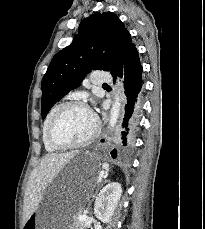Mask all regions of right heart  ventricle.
<instances>
[{
    "mask_svg": "<svg viewBox=\"0 0 205 229\" xmlns=\"http://www.w3.org/2000/svg\"><path fill=\"white\" fill-rule=\"evenodd\" d=\"M60 105L61 104H59V103L53 105L51 107V109L49 110L46 118L43 121V125H42V141H43L44 147H45L47 152H54V151L57 150V148L53 147L49 143L48 138H47V132H48V127H49L50 121H51L54 113L56 112V110L59 108Z\"/></svg>",
    "mask_w": 205,
    "mask_h": 229,
    "instance_id": "obj_1",
    "label": "right heart ventricle"
}]
</instances>
